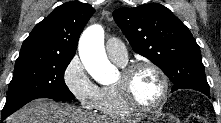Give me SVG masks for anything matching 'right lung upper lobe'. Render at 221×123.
Segmentation results:
<instances>
[{
  "instance_id": "right-lung-upper-lobe-1",
  "label": "right lung upper lobe",
  "mask_w": 221,
  "mask_h": 123,
  "mask_svg": "<svg viewBox=\"0 0 221 123\" xmlns=\"http://www.w3.org/2000/svg\"><path fill=\"white\" fill-rule=\"evenodd\" d=\"M95 12L87 3L67 2L38 23L20 53L75 55L79 36Z\"/></svg>"
}]
</instances>
